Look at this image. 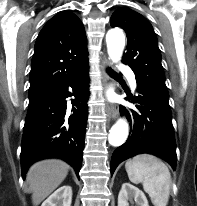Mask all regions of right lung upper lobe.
<instances>
[{"label":"right lung upper lobe","instance_id":"cb5924a9","mask_svg":"<svg viewBox=\"0 0 197 206\" xmlns=\"http://www.w3.org/2000/svg\"><path fill=\"white\" fill-rule=\"evenodd\" d=\"M85 29L72 12H60L42 28L30 71L33 91H52L88 64Z\"/></svg>","mask_w":197,"mask_h":206}]
</instances>
